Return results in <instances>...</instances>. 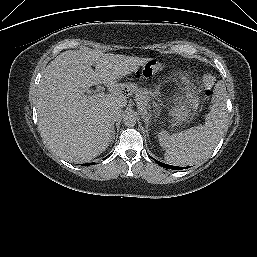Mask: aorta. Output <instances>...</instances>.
<instances>
[{
	"label": "aorta",
	"instance_id": "762f6f07",
	"mask_svg": "<svg viewBox=\"0 0 257 257\" xmlns=\"http://www.w3.org/2000/svg\"><path fill=\"white\" fill-rule=\"evenodd\" d=\"M137 121V115L133 111H128L127 113L124 114L123 116V123L127 127H133L135 126Z\"/></svg>",
	"mask_w": 257,
	"mask_h": 257
}]
</instances>
